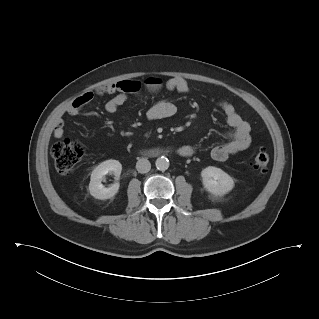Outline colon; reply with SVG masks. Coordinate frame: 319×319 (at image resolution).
Wrapping results in <instances>:
<instances>
[{"mask_svg": "<svg viewBox=\"0 0 319 319\" xmlns=\"http://www.w3.org/2000/svg\"><path fill=\"white\" fill-rule=\"evenodd\" d=\"M162 85V80L158 78H148L143 82V86L149 90H157ZM142 86V83L130 81L126 86V91L136 93ZM56 170L59 174L67 176L72 174L76 164L83 156V147L80 143L64 139L56 142L51 150ZM269 164V155L263 149H258L252 158L251 166L253 170L262 175L266 173Z\"/></svg>", "mask_w": 319, "mask_h": 319, "instance_id": "5ec220e1", "label": "colon"}]
</instances>
